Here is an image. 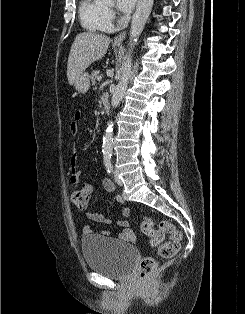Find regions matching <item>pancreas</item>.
Instances as JSON below:
<instances>
[{
	"label": "pancreas",
	"mask_w": 245,
	"mask_h": 314,
	"mask_svg": "<svg viewBox=\"0 0 245 314\" xmlns=\"http://www.w3.org/2000/svg\"><path fill=\"white\" fill-rule=\"evenodd\" d=\"M98 76H99V71L93 70L90 76L92 85H95Z\"/></svg>",
	"instance_id": "obj_1"
}]
</instances>
